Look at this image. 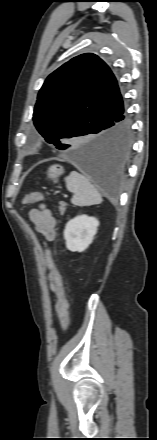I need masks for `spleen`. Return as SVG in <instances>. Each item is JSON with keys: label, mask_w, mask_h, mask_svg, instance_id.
Masks as SVG:
<instances>
[{"label": "spleen", "mask_w": 157, "mask_h": 440, "mask_svg": "<svg viewBox=\"0 0 157 440\" xmlns=\"http://www.w3.org/2000/svg\"><path fill=\"white\" fill-rule=\"evenodd\" d=\"M65 183L68 191L73 193L71 199L73 205L84 207L102 202L101 194L84 175L73 171L65 178Z\"/></svg>", "instance_id": "spleen-1"}]
</instances>
